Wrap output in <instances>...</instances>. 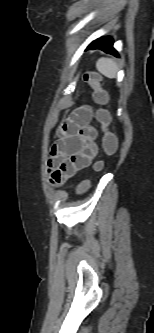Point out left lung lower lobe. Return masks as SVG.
<instances>
[{
  "label": "left lung lower lobe",
  "instance_id": "obj_1",
  "mask_svg": "<svg viewBox=\"0 0 154 333\" xmlns=\"http://www.w3.org/2000/svg\"><path fill=\"white\" fill-rule=\"evenodd\" d=\"M87 49H100L107 53L118 56L117 52L113 48V39L111 37H101L93 41Z\"/></svg>",
  "mask_w": 154,
  "mask_h": 333
}]
</instances>
